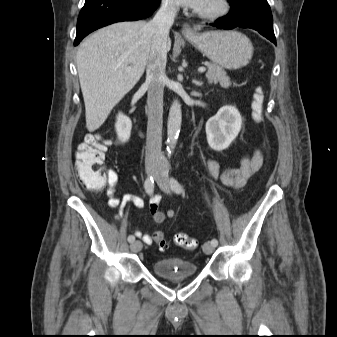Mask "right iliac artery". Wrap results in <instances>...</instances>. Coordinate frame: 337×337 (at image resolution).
Instances as JSON below:
<instances>
[{
    "label": "right iliac artery",
    "mask_w": 337,
    "mask_h": 337,
    "mask_svg": "<svg viewBox=\"0 0 337 337\" xmlns=\"http://www.w3.org/2000/svg\"><path fill=\"white\" fill-rule=\"evenodd\" d=\"M144 188L146 190V193L149 195L153 194L154 191V179L152 176L147 177L144 183ZM135 240L134 235H129L128 236V241L132 243Z\"/></svg>",
    "instance_id": "obj_1"
}]
</instances>
